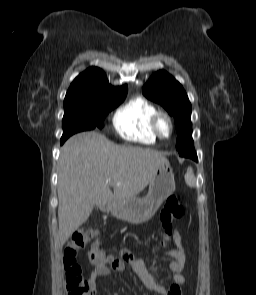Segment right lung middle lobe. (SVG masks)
<instances>
[{
    "label": "right lung middle lobe",
    "instance_id": "right-lung-middle-lobe-1",
    "mask_svg": "<svg viewBox=\"0 0 256 295\" xmlns=\"http://www.w3.org/2000/svg\"><path fill=\"white\" fill-rule=\"evenodd\" d=\"M126 94L114 97L91 100L83 103L72 104L64 107L63 135L66 140L77 132L92 130L96 127L102 129L105 116L119 106L125 99Z\"/></svg>",
    "mask_w": 256,
    "mask_h": 295
}]
</instances>
